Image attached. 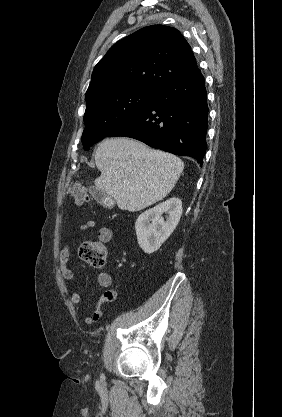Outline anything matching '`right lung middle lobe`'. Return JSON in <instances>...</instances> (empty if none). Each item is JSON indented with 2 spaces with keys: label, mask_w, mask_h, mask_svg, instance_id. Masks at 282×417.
<instances>
[{
  "label": "right lung middle lobe",
  "mask_w": 282,
  "mask_h": 417,
  "mask_svg": "<svg viewBox=\"0 0 282 417\" xmlns=\"http://www.w3.org/2000/svg\"><path fill=\"white\" fill-rule=\"evenodd\" d=\"M156 90L128 88L105 92L86 99L85 129L82 143L85 150L99 142L145 107Z\"/></svg>",
  "instance_id": "dd1d6c3e"
}]
</instances>
